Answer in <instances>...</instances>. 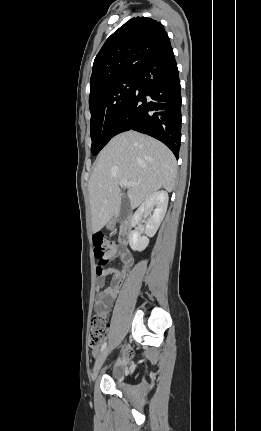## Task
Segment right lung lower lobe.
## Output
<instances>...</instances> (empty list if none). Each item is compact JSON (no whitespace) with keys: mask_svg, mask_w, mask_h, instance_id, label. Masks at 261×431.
<instances>
[{"mask_svg":"<svg viewBox=\"0 0 261 431\" xmlns=\"http://www.w3.org/2000/svg\"><path fill=\"white\" fill-rule=\"evenodd\" d=\"M172 47L152 59L137 74L136 84L118 118L113 137L135 130L169 147L178 159L181 144V94Z\"/></svg>","mask_w":261,"mask_h":431,"instance_id":"1","label":"right lung lower lobe"}]
</instances>
